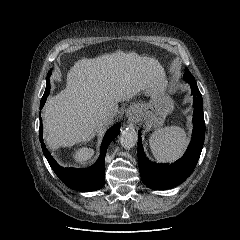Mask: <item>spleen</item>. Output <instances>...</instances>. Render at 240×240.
Listing matches in <instances>:
<instances>
[{"label": "spleen", "instance_id": "3e777b00", "mask_svg": "<svg viewBox=\"0 0 240 240\" xmlns=\"http://www.w3.org/2000/svg\"><path fill=\"white\" fill-rule=\"evenodd\" d=\"M151 151L159 162L174 161L181 156L187 137L184 129L178 126L156 130L149 139Z\"/></svg>", "mask_w": 240, "mask_h": 240}]
</instances>
